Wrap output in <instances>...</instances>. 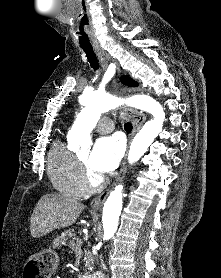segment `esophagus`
Wrapping results in <instances>:
<instances>
[{
	"label": "esophagus",
	"mask_w": 221,
	"mask_h": 278,
	"mask_svg": "<svg viewBox=\"0 0 221 278\" xmlns=\"http://www.w3.org/2000/svg\"><path fill=\"white\" fill-rule=\"evenodd\" d=\"M95 53L100 61L102 68L104 70H106L108 67L109 58L107 57V55H105V52L103 50L95 49ZM115 65H116L117 75L119 76L121 74V68H120L118 62H115ZM112 84L115 89H118L119 85H118V82L116 79H114L112 81ZM123 111L126 115H128L132 119L133 131L131 134V138H133L135 136V134L140 130L143 123L145 122L146 116L144 113L139 112L135 109L126 107V106L123 107ZM126 171H127V157H125V159L122 163L119 175L117 176L115 183L122 181V179L124 178V176L126 174ZM108 194H109V191H104L100 195H98L96 198H94L93 201L91 202V207L94 210H99L103 206Z\"/></svg>",
	"instance_id": "34e87169"
}]
</instances>
